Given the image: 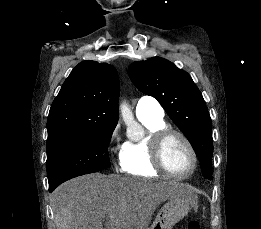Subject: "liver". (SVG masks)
Listing matches in <instances>:
<instances>
[{
	"mask_svg": "<svg viewBox=\"0 0 261 229\" xmlns=\"http://www.w3.org/2000/svg\"><path fill=\"white\" fill-rule=\"evenodd\" d=\"M186 197L173 183L119 175H83L54 191L57 229H147L160 203Z\"/></svg>",
	"mask_w": 261,
	"mask_h": 229,
	"instance_id": "liver-1",
	"label": "liver"
}]
</instances>
